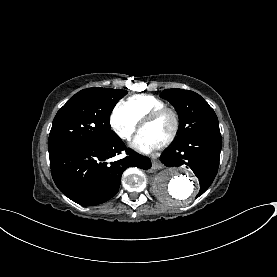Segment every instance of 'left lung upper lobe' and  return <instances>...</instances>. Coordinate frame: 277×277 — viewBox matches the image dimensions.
<instances>
[{
  "label": "left lung upper lobe",
  "mask_w": 277,
  "mask_h": 277,
  "mask_svg": "<svg viewBox=\"0 0 277 277\" xmlns=\"http://www.w3.org/2000/svg\"><path fill=\"white\" fill-rule=\"evenodd\" d=\"M160 96L178 112L179 131L175 142L206 132H220L214 110L199 94L183 89H166Z\"/></svg>",
  "instance_id": "left-lung-upper-lobe-1"
}]
</instances>
